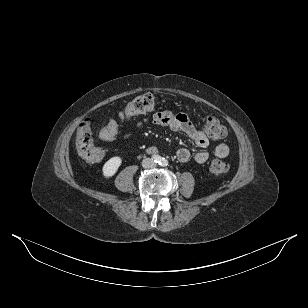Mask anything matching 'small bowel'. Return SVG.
I'll use <instances>...</instances> for the list:
<instances>
[{"instance_id":"c3829d8e","label":"small bowel","mask_w":308,"mask_h":308,"mask_svg":"<svg viewBox=\"0 0 308 308\" xmlns=\"http://www.w3.org/2000/svg\"><path fill=\"white\" fill-rule=\"evenodd\" d=\"M114 119L119 122L118 129L123 127L125 123L123 113H119L118 117ZM150 122L157 126L168 127L174 132L184 133L195 143L196 146L200 148H206L209 145V140L206 134L203 131L198 130L184 113H172L168 110L156 112L151 117H145L142 120L137 121L135 126L137 128H142L145 124ZM132 135L133 133L129 131L123 134V138L127 139ZM228 153L229 148L224 143L218 144L215 148V155L219 158L226 157ZM176 156L180 162H187L190 159L191 154L188 149L181 148L177 151ZM208 158L209 154L204 150L198 151L194 154V160L200 164L205 163Z\"/></svg>"}]
</instances>
